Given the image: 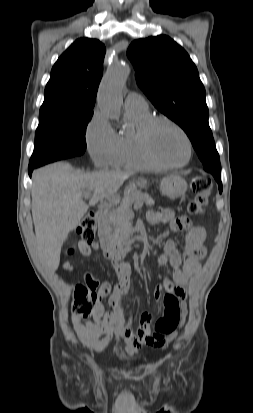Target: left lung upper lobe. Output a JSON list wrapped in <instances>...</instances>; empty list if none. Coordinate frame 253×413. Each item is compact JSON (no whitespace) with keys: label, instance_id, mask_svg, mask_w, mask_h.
<instances>
[{"label":"left lung upper lobe","instance_id":"1","mask_svg":"<svg viewBox=\"0 0 253 413\" xmlns=\"http://www.w3.org/2000/svg\"><path fill=\"white\" fill-rule=\"evenodd\" d=\"M127 56L138 86L160 112L186 132L205 171L221 174L205 88L187 52L170 37L159 35L135 40Z\"/></svg>","mask_w":253,"mask_h":413}]
</instances>
